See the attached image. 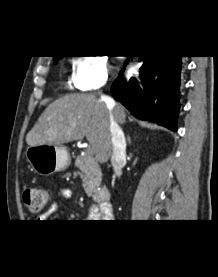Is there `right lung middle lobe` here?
Listing matches in <instances>:
<instances>
[{"instance_id": "1", "label": "right lung middle lobe", "mask_w": 218, "mask_h": 277, "mask_svg": "<svg viewBox=\"0 0 218 277\" xmlns=\"http://www.w3.org/2000/svg\"><path fill=\"white\" fill-rule=\"evenodd\" d=\"M59 58H60V57H59ZM59 58H57V59H54V62H55V63H57V62H58V60H59Z\"/></svg>"}]
</instances>
